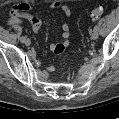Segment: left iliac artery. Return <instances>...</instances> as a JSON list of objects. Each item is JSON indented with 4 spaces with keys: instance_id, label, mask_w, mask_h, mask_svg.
I'll return each mask as SVG.
<instances>
[{
    "instance_id": "obj_1",
    "label": "left iliac artery",
    "mask_w": 119,
    "mask_h": 119,
    "mask_svg": "<svg viewBox=\"0 0 119 119\" xmlns=\"http://www.w3.org/2000/svg\"><path fill=\"white\" fill-rule=\"evenodd\" d=\"M99 27L97 25L94 26V30L98 31Z\"/></svg>"
}]
</instances>
